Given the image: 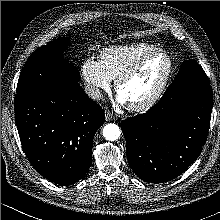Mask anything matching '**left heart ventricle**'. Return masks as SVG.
Instances as JSON below:
<instances>
[{
  "mask_svg": "<svg viewBox=\"0 0 220 220\" xmlns=\"http://www.w3.org/2000/svg\"><path fill=\"white\" fill-rule=\"evenodd\" d=\"M168 68L166 56L159 54L151 57L135 76L121 86L119 94L129 105L146 100L159 87Z\"/></svg>",
  "mask_w": 220,
  "mask_h": 220,
  "instance_id": "obj_1",
  "label": "left heart ventricle"
}]
</instances>
